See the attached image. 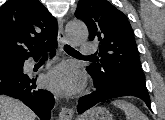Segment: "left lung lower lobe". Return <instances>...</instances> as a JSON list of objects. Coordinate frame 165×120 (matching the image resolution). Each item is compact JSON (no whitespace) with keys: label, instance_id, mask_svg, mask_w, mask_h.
I'll use <instances>...</instances> for the list:
<instances>
[{"label":"left lung lower lobe","instance_id":"obj_1","mask_svg":"<svg viewBox=\"0 0 165 120\" xmlns=\"http://www.w3.org/2000/svg\"><path fill=\"white\" fill-rule=\"evenodd\" d=\"M122 96H135L142 99L148 108L151 109L150 97L148 93L132 90H95L91 94L83 96L79 99L77 110L83 113L85 110L93 107L95 104Z\"/></svg>","mask_w":165,"mask_h":120}]
</instances>
